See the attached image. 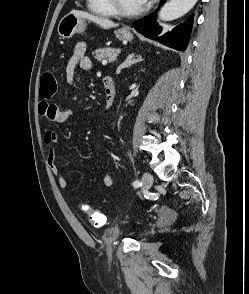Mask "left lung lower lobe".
I'll list each match as a JSON object with an SVG mask.
<instances>
[{
  "mask_svg": "<svg viewBox=\"0 0 249 294\" xmlns=\"http://www.w3.org/2000/svg\"><path fill=\"white\" fill-rule=\"evenodd\" d=\"M164 2L165 0H161V4ZM150 17H155V12L150 16L135 22L134 27L136 31L150 39L157 40L179 51H184L186 49L190 39L193 15L183 23L165 33H162V28L158 26L157 22L150 19Z\"/></svg>",
  "mask_w": 249,
  "mask_h": 294,
  "instance_id": "obj_1",
  "label": "left lung lower lobe"
}]
</instances>
